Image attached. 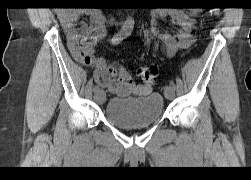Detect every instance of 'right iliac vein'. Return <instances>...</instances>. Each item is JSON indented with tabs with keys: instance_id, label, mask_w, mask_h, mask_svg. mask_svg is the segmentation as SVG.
Returning <instances> with one entry per match:
<instances>
[{
	"instance_id": "63e3f726",
	"label": "right iliac vein",
	"mask_w": 251,
	"mask_h": 180,
	"mask_svg": "<svg viewBox=\"0 0 251 180\" xmlns=\"http://www.w3.org/2000/svg\"><path fill=\"white\" fill-rule=\"evenodd\" d=\"M94 99L98 104H103L105 101V93L103 90L95 92Z\"/></svg>"
}]
</instances>
